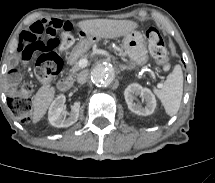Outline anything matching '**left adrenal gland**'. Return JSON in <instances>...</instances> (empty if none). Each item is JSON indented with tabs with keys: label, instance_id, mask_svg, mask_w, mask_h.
<instances>
[{
	"label": "left adrenal gland",
	"instance_id": "1",
	"mask_svg": "<svg viewBox=\"0 0 215 183\" xmlns=\"http://www.w3.org/2000/svg\"><path fill=\"white\" fill-rule=\"evenodd\" d=\"M120 68H121V70L122 71H124V70H130V68L129 67H127V66H125V65H122V64H120Z\"/></svg>",
	"mask_w": 215,
	"mask_h": 183
}]
</instances>
